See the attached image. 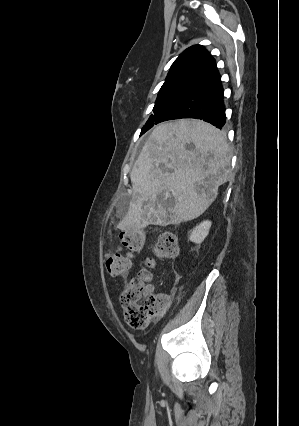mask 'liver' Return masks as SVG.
<instances>
[{
	"mask_svg": "<svg viewBox=\"0 0 299 426\" xmlns=\"http://www.w3.org/2000/svg\"><path fill=\"white\" fill-rule=\"evenodd\" d=\"M230 162L228 143L211 124L180 119L158 125L131 170L132 199L117 227L140 230L199 217L229 180Z\"/></svg>",
	"mask_w": 299,
	"mask_h": 426,
	"instance_id": "6515ba94",
	"label": "liver"
}]
</instances>
